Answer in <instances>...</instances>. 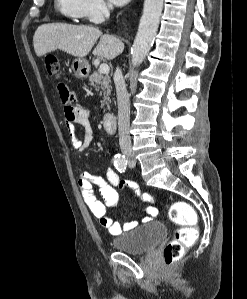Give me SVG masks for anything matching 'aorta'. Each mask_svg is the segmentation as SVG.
<instances>
[{
    "instance_id": "aorta-1",
    "label": "aorta",
    "mask_w": 247,
    "mask_h": 299,
    "mask_svg": "<svg viewBox=\"0 0 247 299\" xmlns=\"http://www.w3.org/2000/svg\"><path fill=\"white\" fill-rule=\"evenodd\" d=\"M162 9L163 0H145L144 2L143 14L131 49L134 67L141 65L154 43Z\"/></svg>"
}]
</instances>
